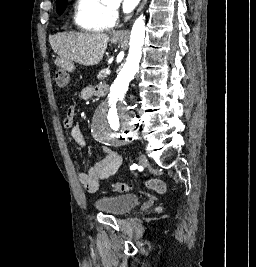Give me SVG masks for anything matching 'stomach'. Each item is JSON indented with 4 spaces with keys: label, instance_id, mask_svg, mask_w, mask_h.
Masks as SVG:
<instances>
[{
    "label": "stomach",
    "instance_id": "0dacf381",
    "mask_svg": "<svg viewBox=\"0 0 256 267\" xmlns=\"http://www.w3.org/2000/svg\"><path fill=\"white\" fill-rule=\"evenodd\" d=\"M53 67H73V62H53Z\"/></svg>",
    "mask_w": 256,
    "mask_h": 267
}]
</instances>
